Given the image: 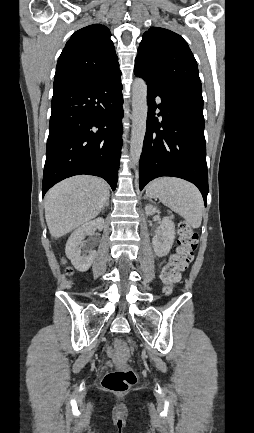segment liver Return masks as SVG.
<instances>
[{"label": "liver", "mask_w": 254, "mask_h": 433, "mask_svg": "<svg viewBox=\"0 0 254 433\" xmlns=\"http://www.w3.org/2000/svg\"><path fill=\"white\" fill-rule=\"evenodd\" d=\"M109 197L106 182L75 176L52 187L45 196V218L52 237L60 238L95 218Z\"/></svg>", "instance_id": "6515ba94"}]
</instances>
